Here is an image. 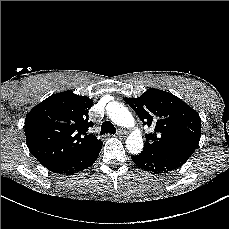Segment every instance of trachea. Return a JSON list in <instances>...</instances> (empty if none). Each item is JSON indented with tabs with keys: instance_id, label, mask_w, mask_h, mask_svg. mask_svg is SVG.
Listing matches in <instances>:
<instances>
[{
	"instance_id": "obj_1",
	"label": "trachea",
	"mask_w": 229,
	"mask_h": 229,
	"mask_svg": "<svg viewBox=\"0 0 229 229\" xmlns=\"http://www.w3.org/2000/svg\"><path fill=\"white\" fill-rule=\"evenodd\" d=\"M110 133V134H115L116 133V128L110 121H105L103 122L101 126V132L100 135Z\"/></svg>"
}]
</instances>
